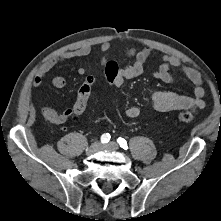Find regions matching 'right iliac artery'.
Listing matches in <instances>:
<instances>
[{
    "mask_svg": "<svg viewBox=\"0 0 221 221\" xmlns=\"http://www.w3.org/2000/svg\"><path fill=\"white\" fill-rule=\"evenodd\" d=\"M110 140V135L108 133H105L101 136V142L102 143H107Z\"/></svg>",
    "mask_w": 221,
    "mask_h": 221,
    "instance_id": "right-iliac-artery-1",
    "label": "right iliac artery"
}]
</instances>
